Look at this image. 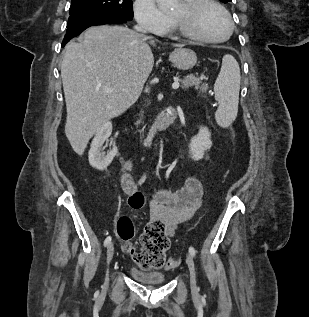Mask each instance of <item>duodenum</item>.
<instances>
[{"instance_id":"obj_1","label":"duodenum","mask_w":309,"mask_h":317,"mask_svg":"<svg viewBox=\"0 0 309 317\" xmlns=\"http://www.w3.org/2000/svg\"><path fill=\"white\" fill-rule=\"evenodd\" d=\"M176 118V111L173 107H168L159 115L156 122L152 126L147 139L146 145H150L157 133L166 129Z\"/></svg>"}]
</instances>
